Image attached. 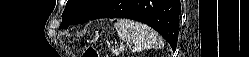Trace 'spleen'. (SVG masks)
Returning <instances> with one entry per match:
<instances>
[{
	"label": "spleen",
	"instance_id": "spleen-1",
	"mask_svg": "<svg viewBox=\"0 0 249 57\" xmlns=\"http://www.w3.org/2000/svg\"><path fill=\"white\" fill-rule=\"evenodd\" d=\"M114 27L119 37L126 41L133 51L140 52L163 45V40L156 31L137 21L120 19Z\"/></svg>",
	"mask_w": 249,
	"mask_h": 57
}]
</instances>
